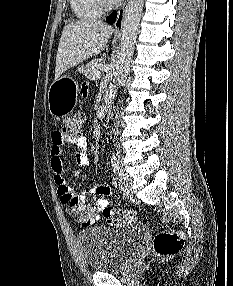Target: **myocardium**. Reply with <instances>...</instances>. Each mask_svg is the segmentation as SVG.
I'll use <instances>...</instances> for the list:
<instances>
[{"instance_id":"obj_1","label":"myocardium","mask_w":233,"mask_h":286,"mask_svg":"<svg viewBox=\"0 0 233 286\" xmlns=\"http://www.w3.org/2000/svg\"><path fill=\"white\" fill-rule=\"evenodd\" d=\"M102 11H107L113 8L117 2L112 0H95Z\"/></svg>"}]
</instances>
